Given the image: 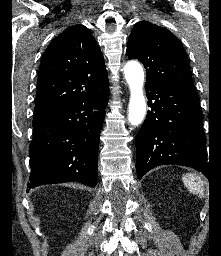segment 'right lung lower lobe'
Here are the masks:
<instances>
[{
    "label": "right lung lower lobe",
    "mask_w": 221,
    "mask_h": 256,
    "mask_svg": "<svg viewBox=\"0 0 221 256\" xmlns=\"http://www.w3.org/2000/svg\"><path fill=\"white\" fill-rule=\"evenodd\" d=\"M108 99L109 86L34 116L29 189L71 181L96 186L100 132Z\"/></svg>",
    "instance_id": "obj_1"
}]
</instances>
